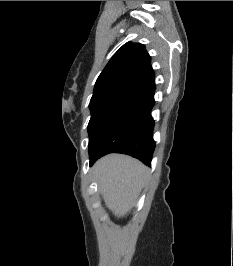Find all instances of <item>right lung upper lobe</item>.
Instances as JSON below:
<instances>
[{
  "label": "right lung upper lobe",
  "instance_id": "1",
  "mask_svg": "<svg viewBox=\"0 0 233 266\" xmlns=\"http://www.w3.org/2000/svg\"><path fill=\"white\" fill-rule=\"evenodd\" d=\"M151 58L140 43L124 44L99 75L91 99L120 92L150 93L155 89Z\"/></svg>",
  "mask_w": 233,
  "mask_h": 266
}]
</instances>
